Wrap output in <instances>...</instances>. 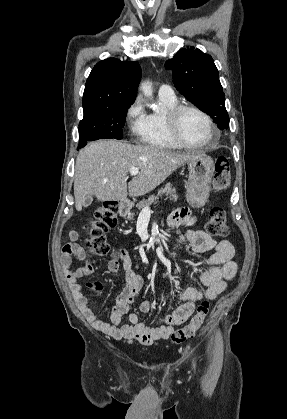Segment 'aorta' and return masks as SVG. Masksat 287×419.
I'll list each match as a JSON object with an SVG mask.
<instances>
[{
    "mask_svg": "<svg viewBox=\"0 0 287 419\" xmlns=\"http://www.w3.org/2000/svg\"><path fill=\"white\" fill-rule=\"evenodd\" d=\"M140 88H141V90H142V92L145 96H152L153 91H152V83L151 82H149V81L142 82ZM158 109H159L158 107H153L154 111H158Z\"/></svg>",
    "mask_w": 287,
    "mask_h": 419,
    "instance_id": "aorta-1",
    "label": "aorta"
}]
</instances>
